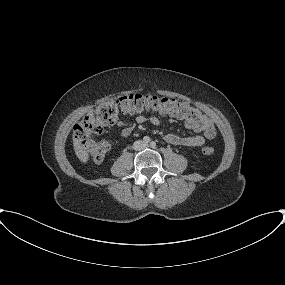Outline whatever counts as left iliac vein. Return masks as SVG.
<instances>
[{"instance_id": "obj_1", "label": "left iliac vein", "mask_w": 285, "mask_h": 285, "mask_svg": "<svg viewBox=\"0 0 285 285\" xmlns=\"http://www.w3.org/2000/svg\"><path fill=\"white\" fill-rule=\"evenodd\" d=\"M144 147H148V145H144Z\"/></svg>"}]
</instances>
